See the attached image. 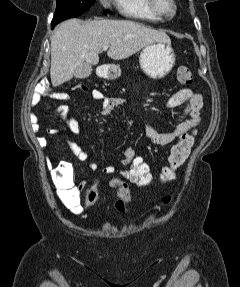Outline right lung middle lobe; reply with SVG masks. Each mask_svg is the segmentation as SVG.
<instances>
[{"instance_id": "1", "label": "right lung middle lobe", "mask_w": 240, "mask_h": 287, "mask_svg": "<svg viewBox=\"0 0 240 287\" xmlns=\"http://www.w3.org/2000/svg\"><path fill=\"white\" fill-rule=\"evenodd\" d=\"M95 0H57V7L51 27H55L58 23L65 19L77 17L87 11Z\"/></svg>"}]
</instances>
